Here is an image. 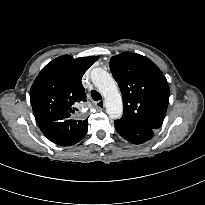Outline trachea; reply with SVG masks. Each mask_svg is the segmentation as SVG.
Wrapping results in <instances>:
<instances>
[{
	"instance_id": "1",
	"label": "trachea",
	"mask_w": 205,
	"mask_h": 205,
	"mask_svg": "<svg viewBox=\"0 0 205 205\" xmlns=\"http://www.w3.org/2000/svg\"><path fill=\"white\" fill-rule=\"evenodd\" d=\"M91 97H92V99L94 100V101H99V100H101V95H100V93L99 92H97L96 90H92L91 91Z\"/></svg>"
}]
</instances>
